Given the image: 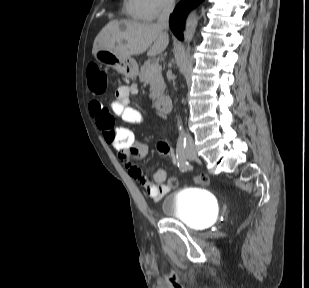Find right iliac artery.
Returning a JSON list of instances; mask_svg holds the SVG:
<instances>
[{
	"instance_id": "82829eb1",
	"label": "right iliac artery",
	"mask_w": 309,
	"mask_h": 288,
	"mask_svg": "<svg viewBox=\"0 0 309 288\" xmlns=\"http://www.w3.org/2000/svg\"><path fill=\"white\" fill-rule=\"evenodd\" d=\"M185 147H186V140L180 139L177 143L176 157L178 160L179 171L183 172L188 170H194L193 166L189 165V163L186 160Z\"/></svg>"
}]
</instances>
